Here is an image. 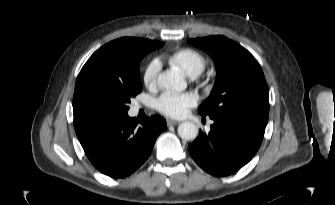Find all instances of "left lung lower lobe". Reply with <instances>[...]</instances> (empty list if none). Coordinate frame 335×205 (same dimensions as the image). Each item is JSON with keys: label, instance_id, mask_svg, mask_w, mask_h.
Instances as JSON below:
<instances>
[{"label": "left lung lower lobe", "instance_id": "1", "mask_svg": "<svg viewBox=\"0 0 335 205\" xmlns=\"http://www.w3.org/2000/svg\"><path fill=\"white\" fill-rule=\"evenodd\" d=\"M208 134L199 131V137L188 146L194 161L214 176H226L238 171L258 151L265 126L245 118L215 115Z\"/></svg>", "mask_w": 335, "mask_h": 205}]
</instances>
